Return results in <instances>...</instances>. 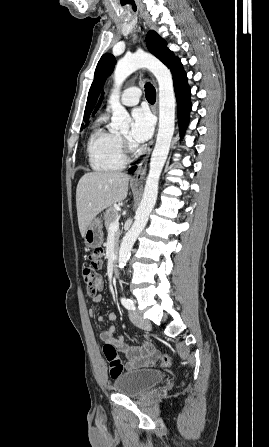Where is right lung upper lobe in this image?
<instances>
[{
    "label": "right lung upper lobe",
    "instance_id": "obj_1",
    "mask_svg": "<svg viewBox=\"0 0 269 447\" xmlns=\"http://www.w3.org/2000/svg\"><path fill=\"white\" fill-rule=\"evenodd\" d=\"M101 98H103V95L101 96ZM100 104H101V100H100V102H99L97 108L95 109V111H97V109H98V107L100 106Z\"/></svg>",
    "mask_w": 269,
    "mask_h": 447
}]
</instances>
